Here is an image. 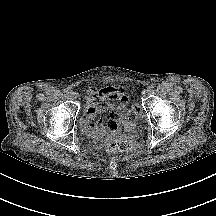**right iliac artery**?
Segmentation results:
<instances>
[{
  "label": "right iliac artery",
  "mask_w": 216,
  "mask_h": 216,
  "mask_svg": "<svg viewBox=\"0 0 216 216\" xmlns=\"http://www.w3.org/2000/svg\"><path fill=\"white\" fill-rule=\"evenodd\" d=\"M65 93H66V94L71 93V89H70V88H66V89H65Z\"/></svg>",
  "instance_id": "obj_1"
}]
</instances>
